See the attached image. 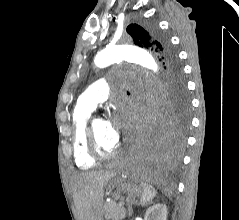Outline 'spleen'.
Returning a JSON list of instances; mask_svg holds the SVG:
<instances>
[{
    "label": "spleen",
    "instance_id": "obj_1",
    "mask_svg": "<svg viewBox=\"0 0 239 220\" xmlns=\"http://www.w3.org/2000/svg\"><path fill=\"white\" fill-rule=\"evenodd\" d=\"M140 186L142 188L141 204L144 205L150 202L156 196L157 191L152 185L147 183L141 182Z\"/></svg>",
    "mask_w": 239,
    "mask_h": 220
}]
</instances>
